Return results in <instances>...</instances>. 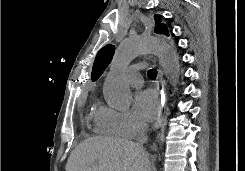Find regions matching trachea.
Instances as JSON below:
<instances>
[{"mask_svg":"<svg viewBox=\"0 0 245 171\" xmlns=\"http://www.w3.org/2000/svg\"><path fill=\"white\" fill-rule=\"evenodd\" d=\"M147 75L150 79H154L156 78L157 76V70L155 69H150L148 72H147Z\"/></svg>","mask_w":245,"mask_h":171,"instance_id":"1","label":"trachea"}]
</instances>
